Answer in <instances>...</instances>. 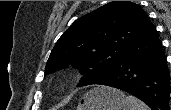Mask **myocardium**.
<instances>
[{
    "instance_id": "myocardium-1",
    "label": "myocardium",
    "mask_w": 171,
    "mask_h": 110,
    "mask_svg": "<svg viewBox=\"0 0 171 110\" xmlns=\"http://www.w3.org/2000/svg\"><path fill=\"white\" fill-rule=\"evenodd\" d=\"M71 83L70 77H64L55 82L54 88L58 93L64 92Z\"/></svg>"
}]
</instances>
